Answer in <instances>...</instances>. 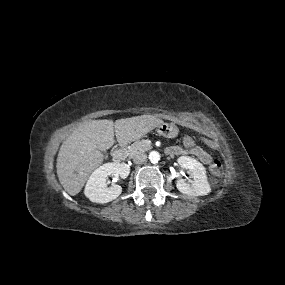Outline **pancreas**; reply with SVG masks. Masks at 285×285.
I'll return each instance as SVG.
<instances>
[{"mask_svg": "<svg viewBox=\"0 0 285 285\" xmlns=\"http://www.w3.org/2000/svg\"><path fill=\"white\" fill-rule=\"evenodd\" d=\"M150 148V145L145 140L136 141L129 147L128 154L130 157H133L137 153L148 151Z\"/></svg>", "mask_w": 285, "mask_h": 285, "instance_id": "cf45deb5", "label": "pancreas"}]
</instances>
